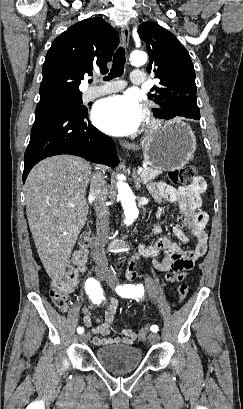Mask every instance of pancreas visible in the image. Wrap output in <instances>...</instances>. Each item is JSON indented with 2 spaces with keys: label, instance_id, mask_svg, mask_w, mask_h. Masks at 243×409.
Masks as SVG:
<instances>
[{
  "label": "pancreas",
  "instance_id": "obj_1",
  "mask_svg": "<svg viewBox=\"0 0 243 409\" xmlns=\"http://www.w3.org/2000/svg\"><path fill=\"white\" fill-rule=\"evenodd\" d=\"M159 174H161L160 170L147 167L143 169V173L140 175V177L144 183H148L149 181L157 177Z\"/></svg>",
  "mask_w": 243,
  "mask_h": 409
}]
</instances>
